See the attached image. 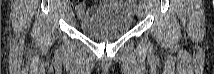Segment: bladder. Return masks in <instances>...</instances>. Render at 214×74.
<instances>
[{
  "label": "bladder",
  "mask_w": 214,
  "mask_h": 74,
  "mask_svg": "<svg viewBox=\"0 0 214 74\" xmlns=\"http://www.w3.org/2000/svg\"><path fill=\"white\" fill-rule=\"evenodd\" d=\"M132 21L133 14L130 9L117 4L108 6L99 4L80 20L79 29L88 38L111 40L125 35L130 30Z\"/></svg>",
  "instance_id": "bladder-1"
}]
</instances>
